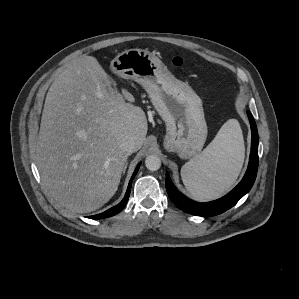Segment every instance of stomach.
<instances>
[{"label": "stomach", "mask_w": 299, "mask_h": 299, "mask_svg": "<svg viewBox=\"0 0 299 299\" xmlns=\"http://www.w3.org/2000/svg\"><path fill=\"white\" fill-rule=\"evenodd\" d=\"M122 78L139 83L166 124L163 146L180 158L197 156L207 137L202 101L193 89L178 80L154 54L143 49H129L118 54L110 64Z\"/></svg>", "instance_id": "0dacf381"}]
</instances>
